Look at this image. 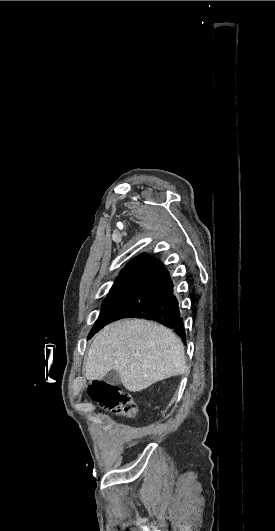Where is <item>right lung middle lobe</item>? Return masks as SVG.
Listing matches in <instances>:
<instances>
[{"mask_svg": "<svg viewBox=\"0 0 275 531\" xmlns=\"http://www.w3.org/2000/svg\"><path fill=\"white\" fill-rule=\"evenodd\" d=\"M143 273L142 270H136V271H128V272H122L118 276V278L115 280L108 296L104 300L102 304V310L100 312V315L91 329L88 338H91L97 331L101 323L103 322V319L109 309L121 298V296L130 288L132 287L140 278L141 274Z\"/></svg>", "mask_w": 275, "mask_h": 531, "instance_id": "right-lung-middle-lobe-1", "label": "right lung middle lobe"}]
</instances>
